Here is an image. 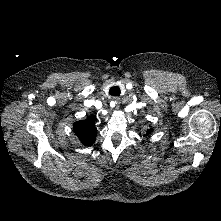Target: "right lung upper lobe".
<instances>
[{
  "label": "right lung upper lobe",
  "mask_w": 221,
  "mask_h": 221,
  "mask_svg": "<svg viewBox=\"0 0 221 221\" xmlns=\"http://www.w3.org/2000/svg\"><path fill=\"white\" fill-rule=\"evenodd\" d=\"M94 123L95 117L91 116L83 121L75 122L73 125L76 135L85 146L91 145L95 141L97 129Z\"/></svg>",
  "instance_id": "1"
}]
</instances>
